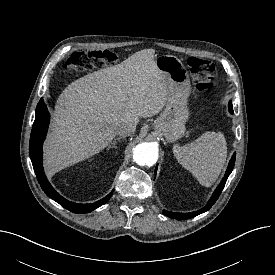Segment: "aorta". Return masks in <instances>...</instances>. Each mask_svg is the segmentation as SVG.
Listing matches in <instances>:
<instances>
[{
	"label": "aorta",
	"mask_w": 275,
	"mask_h": 275,
	"mask_svg": "<svg viewBox=\"0 0 275 275\" xmlns=\"http://www.w3.org/2000/svg\"><path fill=\"white\" fill-rule=\"evenodd\" d=\"M133 160L141 166H152L158 160V148L151 143H140L134 148Z\"/></svg>",
	"instance_id": "1"
}]
</instances>
